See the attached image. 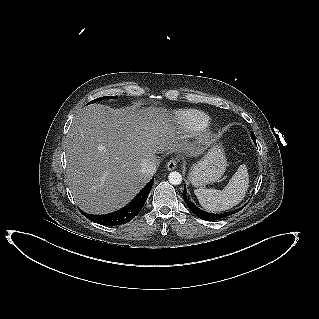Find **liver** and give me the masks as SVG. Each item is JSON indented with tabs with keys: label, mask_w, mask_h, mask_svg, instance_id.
<instances>
[{
	"label": "liver",
	"mask_w": 319,
	"mask_h": 319,
	"mask_svg": "<svg viewBox=\"0 0 319 319\" xmlns=\"http://www.w3.org/2000/svg\"><path fill=\"white\" fill-rule=\"evenodd\" d=\"M180 140L167 109L85 107L64 141L67 181L75 202L98 215L122 208L151 179L141 171V161L183 150Z\"/></svg>",
	"instance_id": "liver-1"
}]
</instances>
